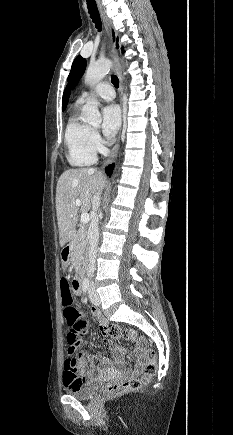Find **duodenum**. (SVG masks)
Instances as JSON below:
<instances>
[{
    "label": "duodenum",
    "instance_id": "410a0bca",
    "mask_svg": "<svg viewBox=\"0 0 233 435\" xmlns=\"http://www.w3.org/2000/svg\"><path fill=\"white\" fill-rule=\"evenodd\" d=\"M70 253H71V245L67 244L63 247L61 252V262L63 265H67ZM83 276H84V272L82 270H79L75 278L77 284L81 285Z\"/></svg>",
    "mask_w": 233,
    "mask_h": 435
}]
</instances>
